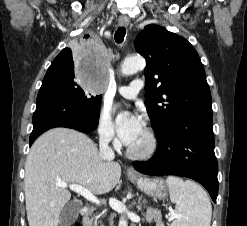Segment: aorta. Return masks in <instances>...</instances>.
Here are the masks:
<instances>
[{
  "label": "aorta",
  "mask_w": 247,
  "mask_h": 226,
  "mask_svg": "<svg viewBox=\"0 0 247 226\" xmlns=\"http://www.w3.org/2000/svg\"><path fill=\"white\" fill-rule=\"evenodd\" d=\"M146 65L145 60L141 56H135L125 59L121 66V73L125 76L133 75L137 71L144 69ZM119 226H127V219L121 216Z\"/></svg>",
  "instance_id": "obj_1"
}]
</instances>
